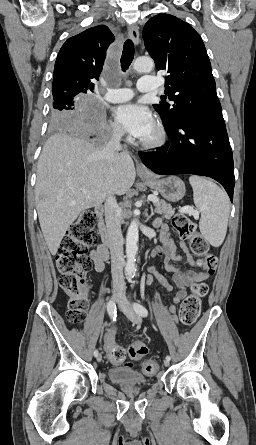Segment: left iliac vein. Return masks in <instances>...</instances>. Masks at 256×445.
<instances>
[{"label": "left iliac vein", "mask_w": 256, "mask_h": 445, "mask_svg": "<svg viewBox=\"0 0 256 445\" xmlns=\"http://www.w3.org/2000/svg\"><path fill=\"white\" fill-rule=\"evenodd\" d=\"M119 307L131 322H133L134 324H137V325L141 324V321H142L141 317L136 313V311L130 305V303L127 301L125 296H121V299L119 301ZM164 365L166 367H168L170 365V361L165 359Z\"/></svg>", "instance_id": "obj_1"}]
</instances>
